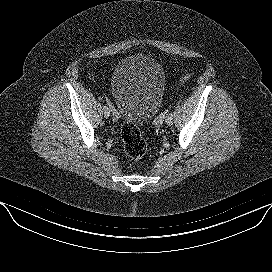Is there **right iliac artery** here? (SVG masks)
Returning <instances> with one entry per match:
<instances>
[{"label":"right iliac artery","instance_id":"right-iliac-artery-1","mask_svg":"<svg viewBox=\"0 0 272 272\" xmlns=\"http://www.w3.org/2000/svg\"><path fill=\"white\" fill-rule=\"evenodd\" d=\"M104 109H108V107H107V106H104Z\"/></svg>","mask_w":272,"mask_h":272}]
</instances>
